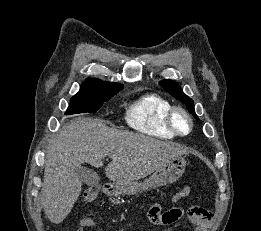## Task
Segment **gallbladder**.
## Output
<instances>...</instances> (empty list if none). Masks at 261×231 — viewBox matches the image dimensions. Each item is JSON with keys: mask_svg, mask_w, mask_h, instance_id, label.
Segmentation results:
<instances>
[{"mask_svg": "<svg viewBox=\"0 0 261 231\" xmlns=\"http://www.w3.org/2000/svg\"><path fill=\"white\" fill-rule=\"evenodd\" d=\"M75 172L81 182L89 185V186H96L98 183V174L88 167L79 166L76 167Z\"/></svg>", "mask_w": 261, "mask_h": 231, "instance_id": "gallbladder-1", "label": "gallbladder"}]
</instances>
